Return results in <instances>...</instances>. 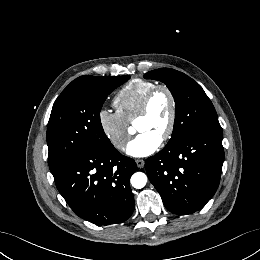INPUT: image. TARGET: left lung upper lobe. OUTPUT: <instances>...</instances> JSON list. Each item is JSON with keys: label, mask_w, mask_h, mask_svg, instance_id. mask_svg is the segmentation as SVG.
Returning <instances> with one entry per match:
<instances>
[{"label": "left lung upper lobe", "mask_w": 260, "mask_h": 260, "mask_svg": "<svg viewBox=\"0 0 260 260\" xmlns=\"http://www.w3.org/2000/svg\"><path fill=\"white\" fill-rule=\"evenodd\" d=\"M165 83L176 106L171 139L173 144L198 129L220 126L214 106L202 87L189 76L170 68H160L144 75Z\"/></svg>", "instance_id": "obj_1"}]
</instances>
